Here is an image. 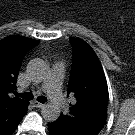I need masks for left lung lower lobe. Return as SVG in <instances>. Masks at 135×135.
Masks as SVG:
<instances>
[{"instance_id":"left-lung-lower-lobe-1","label":"left lung lower lobe","mask_w":135,"mask_h":135,"mask_svg":"<svg viewBox=\"0 0 135 135\" xmlns=\"http://www.w3.org/2000/svg\"><path fill=\"white\" fill-rule=\"evenodd\" d=\"M48 130L50 135H80L72 130H69L59 122L48 123Z\"/></svg>"}]
</instances>
